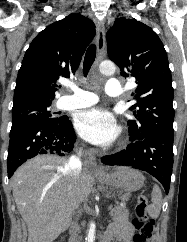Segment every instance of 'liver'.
<instances>
[{
    "instance_id": "obj_1",
    "label": "liver",
    "mask_w": 187,
    "mask_h": 242,
    "mask_svg": "<svg viewBox=\"0 0 187 242\" xmlns=\"http://www.w3.org/2000/svg\"><path fill=\"white\" fill-rule=\"evenodd\" d=\"M66 165L64 158L38 155L11 179L17 209L28 227V242H53L69 227L73 210L93 190L91 171L84 168L77 178H71Z\"/></svg>"
}]
</instances>
